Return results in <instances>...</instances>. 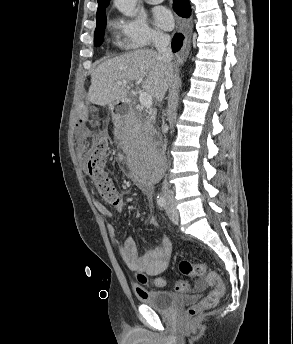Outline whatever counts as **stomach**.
Listing matches in <instances>:
<instances>
[{"instance_id": "obj_1", "label": "stomach", "mask_w": 293, "mask_h": 344, "mask_svg": "<svg viewBox=\"0 0 293 344\" xmlns=\"http://www.w3.org/2000/svg\"><path fill=\"white\" fill-rule=\"evenodd\" d=\"M118 104H119V102H114L113 104L110 105V109L114 110Z\"/></svg>"}]
</instances>
